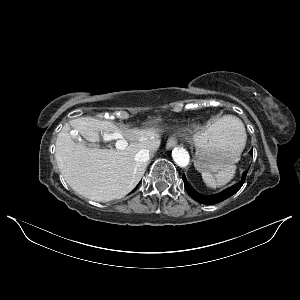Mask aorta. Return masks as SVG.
Masks as SVG:
<instances>
[{"instance_id": "1", "label": "aorta", "mask_w": 300, "mask_h": 300, "mask_svg": "<svg viewBox=\"0 0 300 300\" xmlns=\"http://www.w3.org/2000/svg\"><path fill=\"white\" fill-rule=\"evenodd\" d=\"M174 162L180 167H186L190 162V155L183 147H176L172 151Z\"/></svg>"}]
</instances>
